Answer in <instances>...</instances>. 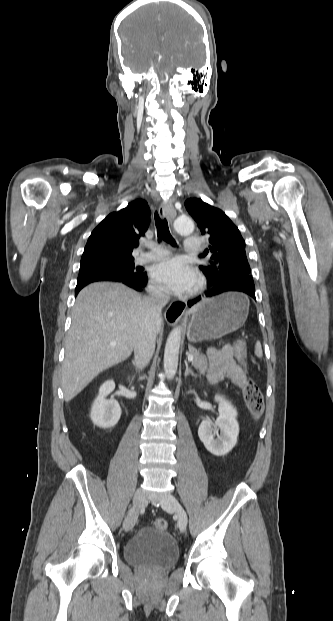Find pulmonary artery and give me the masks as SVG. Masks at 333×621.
<instances>
[{
	"mask_svg": "<svg viewBox=\"0 0 333 621\" xmlns=\"http://www.w3.org/2000/svg\"><path fill=\"white\" fill-rule=\"evenodd\" d=\"M149 247L151 249L149 252H142L139 254L136 260L137 263H145L149 261L159 260V259L164 258L167 255V251L161 246L150 245ZM201 247H202V242L200 238L190 236L186 239L185 250L187 252H190V253L197 252L201 249Z\"/></svg>",
	"mask_w": 333,
	"mask_h": 621,
	"instance_id": "pulmonary-artery-1",
	"label": "pulmonary artery"
}]
</instances>
